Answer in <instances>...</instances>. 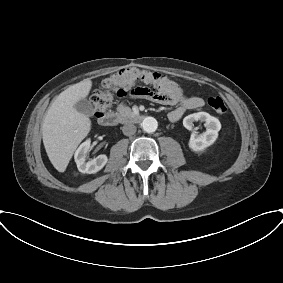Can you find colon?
I'll use <instances>...</instances> for the list:
<instances>
[{
	"mask_svg": "<svg viewBox=\"0 0 283 283\" xmlns=\"http://www.w3.org/2000/svg\"><path fill=\"white\" fill-rule=\"evenodd\" d=\"M137 82L143 85H136ZM173 92L172 81L165 75L135 67L123 68L105 79L100 88L92 95L91 103L96 116L108 110L113 97H124L127 94L137 97H151L158 101H165ZM208 105L218 114H225L227 106L220 97H210Z\"/></svg>",
	"mask_w": 283,
	"mask_h": 283,
	"instance_id": "5ec220e1",
	"label": "colon"
}]
</instances>
